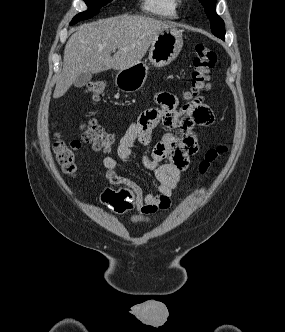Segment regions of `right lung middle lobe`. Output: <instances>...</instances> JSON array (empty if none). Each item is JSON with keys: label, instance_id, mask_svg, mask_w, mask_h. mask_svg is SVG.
<instances>
[{"label": "right lung middle lobe", "instance_id": "dd1d6c3e", "mask_svg": "<svg viewBox=\"0 0 285 332\" xmlns=\"http://www.w3.org/2000/svg\"><path fill=\"white\" fill-rule=\"evenodd\" d=\"M88 6V10L76 15L70 24H75L81 20L89 19L96 15L99 12V9L105 5H107L112 0H84Z\"/></svg>", "mask_w": 285, "mask_h": 332}]
</instances>
